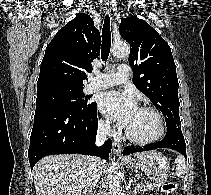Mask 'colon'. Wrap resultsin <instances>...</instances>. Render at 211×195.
<instances>
[{
    "label": "colon",
    "instance_id": "5ec220e1",
    "mask_svg": "<svg viewBox=\"0 0 211 195\" xmlns=\"http://www.w3.org/2000/svg\"><path fill=\"white\" fill-rule=\"evenodd\" d=\"M177 185L175 183H165L162 185V191L166 195H172L176 191Z\"/></svg>",
    "mask_w": 211,
    "mask_h": 195
}]
</instances>
